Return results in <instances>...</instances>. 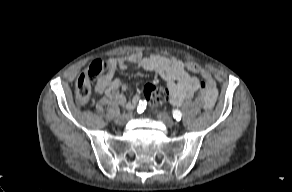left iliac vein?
Returning <instances> with one entry per match:
<instances>
[{"instance_id":"1","label":"left iliac vein","mask_w":292,"mask_h":192,"mask_svg":"<svg viewBox=\"0 0 292 192\" xmlns=\"http://www.w3.org/2000/svg\"><path fill=\"white\" fill-rule=\"evenodd\" d=\"M157 118L162 121L167 127H173L175 125L174 121L165 113H157Z\"/></svg>"}]
</instances>
